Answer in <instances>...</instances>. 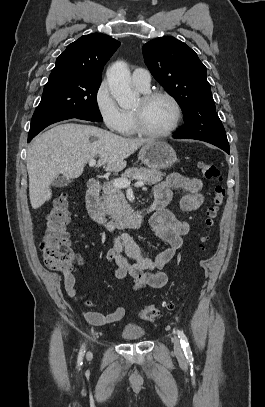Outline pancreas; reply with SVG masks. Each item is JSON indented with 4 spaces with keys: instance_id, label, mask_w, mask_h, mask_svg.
Masks as SVG:
<instances>
[{
    "instance_id": "1",
    "label": "pancreas",
    "mask_w": 265,
    "mask_h": 407,
    "mask_svg": "<svg viewBox=\"0 0 265 407\" xmlns=\"http://www.w3.org/2000/svg\"><path fill=\"white\" fill-rule=\"evenodd\" d=\"M163 176L164 174L156 169L131 167L121 175V178L138 179L139 181L146 182L148 185H154L161 181ZM101 205L103 211L114 220L123 218L130 208L123 192L120 188L115 187L113 182H108L103 185Z\"/></svg>"
}]
</instances>
